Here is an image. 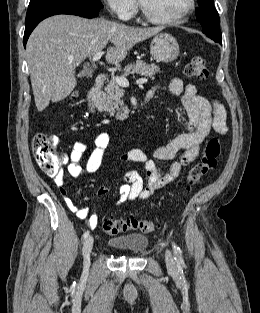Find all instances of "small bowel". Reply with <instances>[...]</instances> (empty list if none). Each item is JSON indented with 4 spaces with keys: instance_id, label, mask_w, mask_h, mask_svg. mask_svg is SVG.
I'll use <instances>...</instances> for the list:
<instances>
[{
    "instance_id": "1",
    "label": "small bowel",
    "mask_w": 260,
    "mask_h": 313,
    "mask_svg": "<svg viewBox=\"0 0 260 313\" xmlns=\"http://www.w3.org/2000/svg\"><path fill=\"white\" fill-rule=\"evenodd\" d=\"M168 93L171 97L179 98L185 109L189 123L187 130L178 134L168 143L158 146L154 151V158L169 162L167 172H163L147 153L140 149H128L118 156L119 162H133L144 165V174L135 171H126L120 175L118 186L119 197L115 204L127 201L145 200L153 195L156 190L166 187L176 180L183 168L194 162L200 152L201 144L208 136L211 129L223 135L228 131L226 112L223 104L218 100H208L197 94V89L192 84L184 85L180 78H173L170 82ZM155 91H152V97ZM95 149L89 157L86 166L80 164L82 155L86 150V142H75L68 153L65 164L67 172L74 178L96 172L102 163L105 151L109 145V135L98 132L95 135ZM178 158L174 160L176 157ZM59 187L66 207L79 219H87L91 228L97 226L98 218L90 214L89 210L76 205L69 197L61 177L55 180ZM97 194H107L108 188L100 186Z\"/></svg>"
}]
</instances>
